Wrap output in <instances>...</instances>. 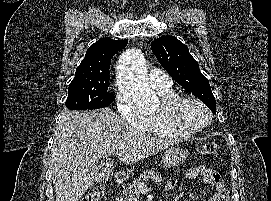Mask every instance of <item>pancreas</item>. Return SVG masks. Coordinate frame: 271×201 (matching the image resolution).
I'll return each instance as SVG.
<instances>
[{"label": "pancreas", "mask_w": 271, "mask_h": 201, "mask_svg": "<svg viewBox=\"0 0 271 201\" xmlns=\"http://www.w3.org/2000/svg\"><path fill=\"white\" fill-rule=\"evenodd\" d=\"M149 179L155 183H163L162 177L154 170H149L141 174L138 178L134 179L129 186L124 189L119 196L116 197V201H140L139 184L149 182Z\"/></svg>", "instance_id": "pancreas-1"}]
</instances>
